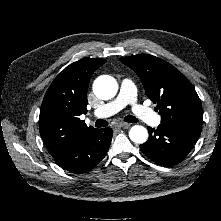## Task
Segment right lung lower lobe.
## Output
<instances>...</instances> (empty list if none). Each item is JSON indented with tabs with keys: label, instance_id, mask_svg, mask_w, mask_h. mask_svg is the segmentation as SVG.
<instances>
[{
	"label": "right lung lower lobe",
	"instance_id": "1",
	"mask_svg": "<svg viewBox=\"0 0 221 221\" xmlns=\"http://www.w3.org/2000/svg\"><path fill=\"white\" fill-rule=\"evenodd\" d=\"M112 135L113 131L109 127L95 129L79 143L54 159L67 171L85 173L105 157Z\"/></svg>",
	"mask_w": 221,
	"mask_h": 221
}]
</instances>
